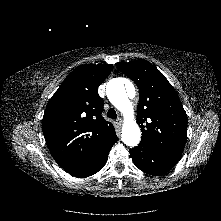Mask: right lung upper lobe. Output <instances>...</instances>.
<instances>
[{"label":"right lung upper lobe","mask_w":221,"mask_h":221,"mask_svg":"<svg viewBox=\"0 0 221 221\" xmlns=\"http://www.w3.org/2000/svg\"><path fill=\"white\" fill-rule=\"evenodd\" d=\"M112 69V64L77 67L48 102L43 134L53 158L65 170L86 162L117 138L113 125L101 115L104 103L98 94Z\"/></svg>","instance_id":"right-lung-upper-lobe-1"}]
</instances>
